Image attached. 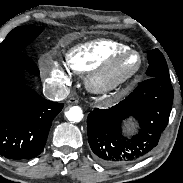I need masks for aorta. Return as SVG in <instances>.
<instances>
[{
	"mask_svg": "<svg viewBox=\"0 0 183 183\" xmlns=\"http://www.w3.org/2000/svg\"><path fill=\"white\" fill-rule=\"evenodd\" d=\"M65 115L69 121L80 122L83 118V111L79 106H73Z\"/></svg>",
	"mask_w": 183,
	"mask_h": 183,
	"instance_id": "1",
	"label": "aorta"
}]
</instances>
